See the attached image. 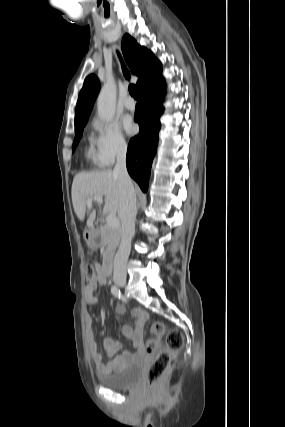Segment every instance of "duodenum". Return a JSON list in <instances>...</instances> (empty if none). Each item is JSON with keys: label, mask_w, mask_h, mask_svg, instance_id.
Segmentation results:
<instances>
[{"label": "duodenum", "mask_w": 285, "mask_h": 427, "mask_svg": "<svg viewBox=\"0 0 285 427\" xmlns=\"http://www.w3.org/2000/svg\"><path fill=\"white\" fill-rule=\"evenodd\" d=\"M113 260H114L113 252L110 250L107 253L105 264H104L106 275H108L110 273V271H111V268H112V265H113Z\"/></svg>", "instance_id": "410a0bca"}]
</instances>
